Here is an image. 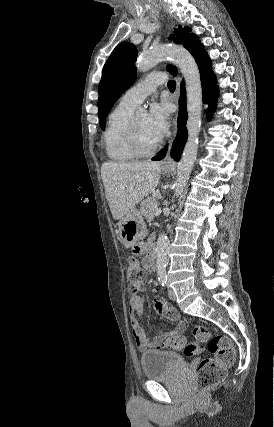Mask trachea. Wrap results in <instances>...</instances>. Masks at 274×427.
Returning <instances> with one entry per match:
<instances>
[{"mask_svg":"<svg viewBox=\"0 0 274 427\" xmlns=\"http://www.w3.org/2000/svg\"><path fill=\"white\" fill-rule=\"evenodd\" d=\"M167 86L171 92H174L176 88V82L174 80H169V82L167 83Z\"/></svg>","mask_w":274,"mask_h":427,"instance_id":"trachea-1","label":"trachea"}]
</instances>
